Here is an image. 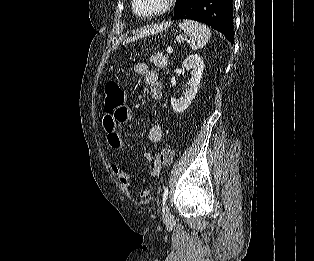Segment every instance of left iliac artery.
<instances>
[{"label":"left iliac artery","instance_id":"1","mask_svg":"<svg viewBox=\"0 0 314 261\" xmlns=\"http://www.w3.org/2000/svg\"><path fill=\"white\" fill-rule=\"evenodd\" d=\"M167 197H168V187H165L164 188V192H163V206L165 205L166 203V200H167ZM164 208H163V212H164Z\"/></svg>","mask_w":314,"mask_h":261}]
</instances>
